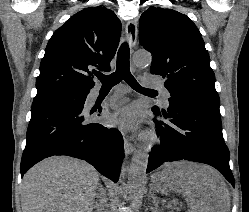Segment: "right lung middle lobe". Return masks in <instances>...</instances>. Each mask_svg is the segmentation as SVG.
<instances>
[{
  "mask_svg": "<svg viewBox=\"0 0 249 212\" xmlns=\"http://www.w3.org/2000/svg\"><path fill=\"white\" fill-rule=\"evenodd\" d=\"M85 92L76 91H63V92H52L44 95H40L34 98L36 100H59V99H82Z\"/></svg>",
  "mask_w": 249,
  "mask_h": 212,
  "instance_id": "1",
  "label": "right lung middle lobe"
}]
</instances>
